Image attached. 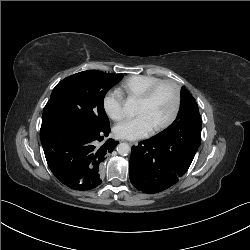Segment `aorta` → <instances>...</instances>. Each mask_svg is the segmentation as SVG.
Instances as JSON below:
<instances>
[{"instance_id":"obj_1","label":"aorta","mask_w":250,"mask_h":250,"mask_svg":"<svg viewBox=\"0 0 250 250\" xmlns=\"http://www.w3.org/2000/svg\"><path fill=\"white\" fill-rule=\"evenodd\" d=\"M125 112L128 114H134L135 112V104L133 101H127L124 105ZM130 146L127 143H120L117 146V151L120 155L126 156L130 153Z\"/></svg>"}]
</instances>
